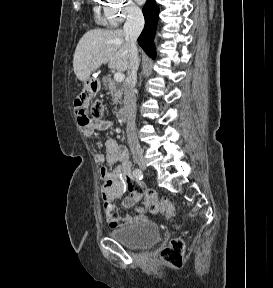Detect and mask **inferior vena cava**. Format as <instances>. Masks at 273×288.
Returning a JSON list of instances; mask_svg holds the SVG:
<instances>
[{
  "mask_svg": "<svg viewBox=\"0 0 273 288\" xmlns=\"http://www.w3.org/2000/svg\"><path fill=\"white\" fill-rule=\"evenodd\" d=\"M127 19L123 27L124 34L129 38L130 59L127 70V77L124 83V109L126 116V133L130 150L133 155L141 153L138 142L135 118H136V97L134 93L137 82V70L139 58L137 50V38L144 27V17L142 11L137 6H129L127 9Z\"/></svg>",
  "mask_w": 273,
  "mask_h": 288,
  "instance_id": "obj_1",
  "label": "inferior vena cava"
}]
</instances>
